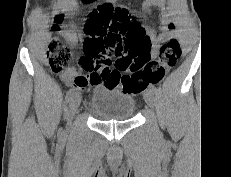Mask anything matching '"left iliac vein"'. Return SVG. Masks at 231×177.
<instances>
[{
  "instance_id": "left-iliac-vein-1",
  "label": "left iliac vein",
  "mask_w": 231,
  "mask_h": 177,
  "mask_svg": "<svg viewBox=\"0 0 231 177\" xmlns=\"http://www.w3.org/2000/svg\"><path fill=\"white\" fill-rule=\"evenodd\" d=\"M144 100L151 109L154 108L155 97H154V93L150 89L146 90V92L144 93Z\"/></svg>"
}]
</instances>
